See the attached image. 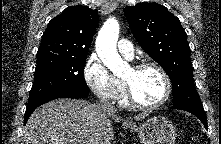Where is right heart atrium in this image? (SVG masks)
<instances>
[{
    "mask_svg": "<svg viewBox=\"0 0 221 144\" xmlns=\"http://www.w3.org/2000/svg\"><path fill=\"white\" fill-rule=\"evenodd\" d=\"M83 76L90 90L102 100L116 101L124 92V84L96 55H91L85 63Z\"/></svg>",
    "mask_w": 221,
    "mask_h": 144,
    "instance_id": "d8ad5b80",
    "label": "right heart atrium"
}]
</instances>
